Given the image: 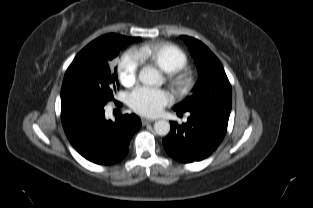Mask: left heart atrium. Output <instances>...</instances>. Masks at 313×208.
<instances>
[{
    "mask_svg": "<svg viewBox=\"0 0 313 208\" xmlns=\"http://www.w3.org/2000/svg\"><path fill=\"white\" fill-rule=\"evenodd\" d=\"M171 101L170 95L161 89L139 87L128 98L130 107L137 113L154 117Z\"/></svg>",
    "mask_w": 313,
    "mask_h": 208,
    "instance_id": "39dd6f15",
    "label": "left heart atrium"
}]
</instances>
